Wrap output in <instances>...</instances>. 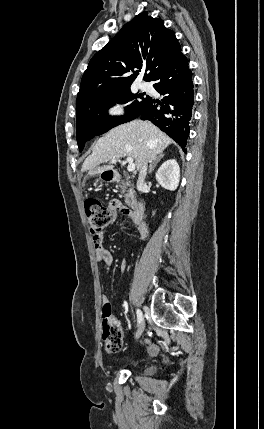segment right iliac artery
Here are the masks:
<instances>
[{
  "instance_id": "1",
  "label": "right iliac artery",
  "mask_w": 264,
  "mask_h": 429,
  "mask_svg": "<svg viewBox=\"0 0 264 429\" xmlns=\"http://www.w3.org/2000/svg\"><path fill=\"white\" fill-rule=\"evenodd\" d=\"M136 314H137L138 324H140L141 321L143 320V314H142L141 310H139V309H137Z\"/></svg>"
}]
</instances>
